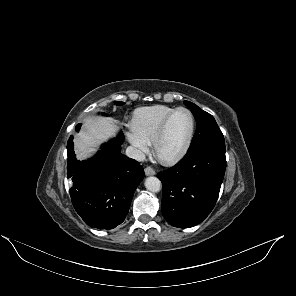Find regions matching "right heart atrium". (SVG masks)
Wrapping results in <instances>:
<instances>
[{
    "instance_id": "obj_1",
    "label": "right heart atrium",
    "mask_w": 296,
    "mask_h": 296,
    "mask_svg": "<svg viewBox=\"0 0 296 296\" xmlns=\"http://www.w3.org/2000/svg\"><path fill=\"white\" fill-rule=\"evenodd\" d=\"M126 137L129 143L134 148L137 157L142 158L148 152V145L139 139L132 130L126 132Z\"/></svg>"
}]
</instances>
